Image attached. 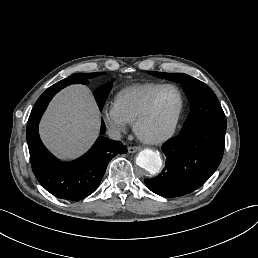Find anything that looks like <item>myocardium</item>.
I'll return each instance as SVG.
<instances>
[{"label":"myocardium","mask_w":258,"mask_h":258,"mask_svg":"<svg viewBox=\"0 0 258 258\" xmlns=\"http://www.w3.org/2000/svg\"><path fill=\"white\" fill-rule=\"evenodd\" d=\"M164 89H172L176 92L177 94V97H178V109H177V113H176V116H175V119L173 121V124L172 126L170 127V129L165 132L164 134L158 136V137H149V136H146L144 135L141 131H140V124L141 122L143 121V119L149 114L150 110H151V107H152V104H153V101L156 97V95L164 90ZM182 107H183V100H182V95L180 93V91L174 86V85H171V84H164V85H160L150 96L149 98L147 99L143 109L141 110V112L138 114L135 122H134V131H135V134L137 135V137L144 141V142H147V143H153V144H158V143H162V142H165L167 141L168 139H170L175 131H176V128L178 126V123H179V119H180V115H181V112H182Z\"/></svg>","instance_id":"obj_1"}]
</instances>
